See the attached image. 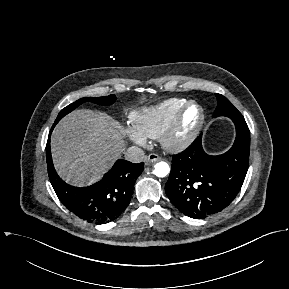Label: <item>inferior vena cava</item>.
I'll return each mask as SVG.
<instances>
[{
	"label": "inferior vena cava",
	"instance_id": "inferior-vena-cava-1",
	"mask_svg": "<svg viewBox=\"0 0 289 289\" xmlns=\"http://www.w3.org/2000/svg\"><path fill=\"white\" fill-rule=\"evenodd\" d=\"M125 159L131 163H140L144 160V151L136 146H131L125 151Z\"/></svg>",
	"mask_w": 289,
	"mask_h": 289
}]
</instances>
